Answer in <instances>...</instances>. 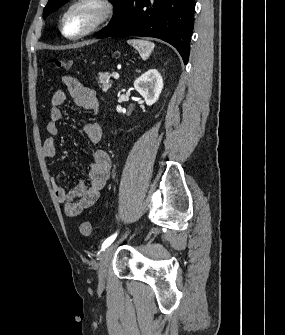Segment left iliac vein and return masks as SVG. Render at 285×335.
I'll return each mask as SVG.
<instances>
[{"mask_svg": "<svg viewBox=\"0 0 285 335\" xmlns=\"http://www.w3.org/2000/svg\"><path fill=\"white\" fill-rule=\"evenodd\" d=\"M127 235L128 233H126L124 237H127ZM122 240H120L119 243L122 242ZM114 249H115V245H111L100 253L99 270H98V278L100 282H105L107 279L108 265L112 257V254L114 252Z\"/></svg>", "mask_w": 285, "mask_h": 335, "instance_id": "1", "label": "left iliac vein"}]
</instances>
